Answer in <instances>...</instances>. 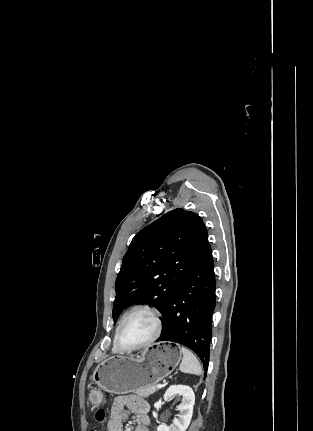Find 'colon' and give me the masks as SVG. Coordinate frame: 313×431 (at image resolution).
<instances>
[{
  "label": "colon",
  "mask_w": 313,
  "mask_h": 431,
  "mask_svg": "<svg viewBox=\"0 0 313 431\" xmlns=\"http://www.w3.org/2000/svg\"><path fill=\"white\" fill-rule=\"evenodd\" d=\"M96 418L98 421H103L105 418V411L103 409H100L96 413ZM91 431H99V430H91Z\"/></svg>",
  "instance_id": "obj_1"
}]
</instances>
